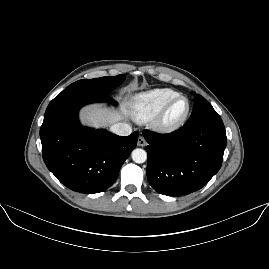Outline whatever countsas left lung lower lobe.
I'll return each instance as SVG.
<instances>
[{
	"mask_svg": "<svg viewBox=\"0 0 269 269\" xmlns=\"http://www.w3.org/2000/svg\"><path fill=\"white\" fill-rule=\"evenodd\" d=\"M147 178L159 193L187 195L205 186L219 171L227 144L222 120H213L160 135L144 130Z\"/></svg>",
	"mask_w": 269,
	"mask_h": 269,
	"instance_id": "0a47b994",
	"label": "left lung lower lobe"
}]
</instances>
